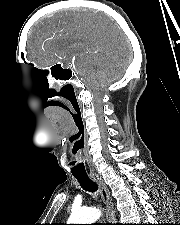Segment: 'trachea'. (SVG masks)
<instances>
[{
	"mask_svg": "<svg viewBox=\"0 0 180 225\" xmlns=\"http://www.w3.org/2000/svg\"><path fill=\"white\" fill-rule=\"evenodd\" d=\"M75 178L78 180L80 183V186L89 192H96L98 189V186L96 183H94L88 175H81V176H75Z\"/></svg>",
	"mask_w": 180,
	"mask_h": 225,
	"instance_id": "trachea-1",
	"label": "trachea"
}]
</instances>
